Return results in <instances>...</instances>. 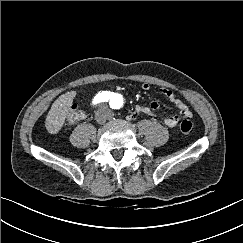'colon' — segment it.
<instances>
[{
	"label": "colon",
	"instance_id": "5ec220e1",
	"mask_svg": "<svg viewBox=\"0 0 243 243\" xmlns=\"http://www.w3.org/2000/svg\"><path fill=\"white\" fill-rule=\"evenodd\" d=\"M84 118V112L77 106H72L66 117L68 125H75ZM193 124L190 120L185 119L180 123V130L183 134L187 135L191 132Z\"/></svg>",
	"mask_w": 243,
	"mask_h": 243
}]
</instances>
